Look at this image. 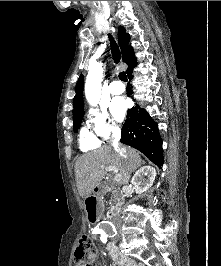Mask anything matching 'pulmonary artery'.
<instances>
[{
    "label": "pulmonary artery",
    "mask_w": 221,
    "mask_h": 266,
    "mask_svg": "<svg viewBox=\"0 0 221 266\" xmlns=\"http://www.w3.org/2000/svg\"><path fill=\"white\" fill-rule=\"evenodd\" d=\"M109 91L113 95L122 94L125 91V86L119 80H113L109 85Z\"/></svg>",
    "instance_id": "1"
}]
</instances>
